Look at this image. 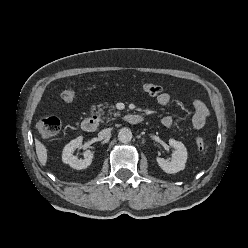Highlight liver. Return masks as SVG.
<instances>
[{
	"instance_id": "6515ba94",
	"label": "liver",
	"mask_w": 248,
	"mask_h": 248,
	"mask_svg": "<svg viewBox=\"0 0 248 248\" xmlns=\"http://www.w3.org/2000/svg\"><path fill=\"white\" fill-rule=\"evenodd\" d=\"M35 147H36V154H37L40 164L42 166H45L47 162L46 147L38 139H35Z\"/></svg>"
}]
</instances>
